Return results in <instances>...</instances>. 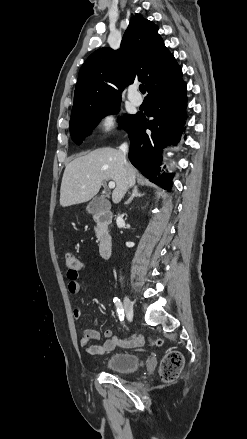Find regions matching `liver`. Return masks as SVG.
<instances>
[{"instance_id":"6515ba94","label":"liver","mask_w":247,"mask_h":439,"mask_svg":"<svg viewBox=\"0 0 247 439\" xmlns=\"http://www.w3.org/2000/svg\"><path fill=\"white\" fill-rule=\"evenodd\" d=\"M109 180L116 184L112 192L114 203L120 202L126 190L135 185L136 170L121 150L99 148L74 159L64 170L60 205L67 207L91 200L103 182Z\"/></svg>"}]
</instances>
